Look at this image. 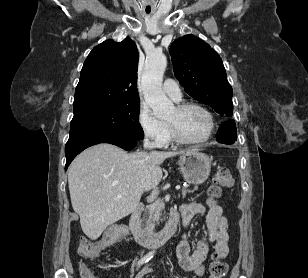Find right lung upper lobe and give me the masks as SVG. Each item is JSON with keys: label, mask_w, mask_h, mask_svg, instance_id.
Returning a JSON list of instances; mask_svg holds the SVG:
<instances>
[{"label": "right lung upper lobe", "mask_w": 308, "mask_h": 278, "mask_svg": "<svg viewBox=\"0 0 308 278\" xmlns=\"http://www.w3.org/2000/svg\"><path fill=\"white\" fill-rule=\"evenodd\" d=\"M138 51L129 37L108 39L89 53L75 90L74 115L117 105L139 103Z\"/></svg>", "instance_id": "obj_1"}]
</instances>
